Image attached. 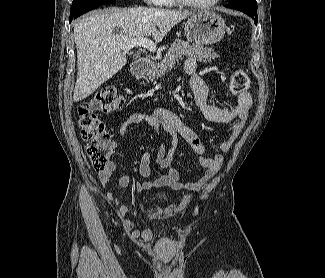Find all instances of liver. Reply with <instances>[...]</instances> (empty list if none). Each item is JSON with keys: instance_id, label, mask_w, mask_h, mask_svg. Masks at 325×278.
<instances>
[{"instance_id": "obj_1", "label": "liver", "mask_w": 325, "mask_h": 278, "mask_svg": "<svg viewBox=\"0 0 325 278\" xmlns=\"http://www.w3.org/2000/svg\"><path fill=\"white\" fill-rule=\"evenodd\" d=\"M192 14L136 6L98 10L83 16L74 27L78 73L73 100L87 98L125 66L123 44L145 36L161 41L176 24ZM115 28L121 32L115 33Z\"/></svg>"}]
</instances>
